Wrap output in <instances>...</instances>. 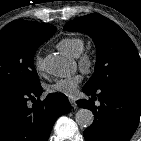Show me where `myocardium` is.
<instances>
[{
    "label": "myocardium",
    "instance_id": "myocardium-1",
    "mask_svg": "<svg viewBox=\"0 0 141 141\" xmlns=\"http://www.w3.org/2000/svg\"><path fill=\"white\" fill-rule=\"evenodd\" d=\"M77 64L83 73H90L95 65L94 57L87 51H82L77 57Z\"/></svg>",
    "mask_w": 141,
    "mask_h": 141
}]
</instances>
